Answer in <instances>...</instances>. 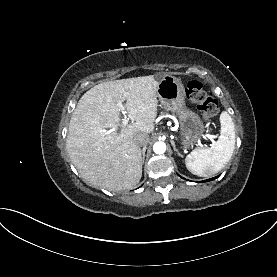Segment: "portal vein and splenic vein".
Listing matches in <instances>:
<instances>
[{
    "label": "portal vein and splenic vein",
    "mask_w": 277,
    "mask_h": 277,
    "mask_svg": "<svg viewBox=\"0 0 277 277\" xmlns=\"http://www.w3.org/2000/svg\"><path fill=\"white\" fill-rule=\"evenodd\" d=\"M116 105H117V107L119 108V110H122V111H123L124 114L127 113L125 107H124L123 104H122V100H118V101L116 102ZM128 121H129V118H127L126 115H125V117L123 118V121H122V125H123V126H126V125L128 124ZM205 136H206L208 139H210L211 141H213V139L215 138L214 135H210V134H206Z\"/></svg>",
    "instance_id": "portal-vein-and-splenic-vein-1"
}]
</instances>
